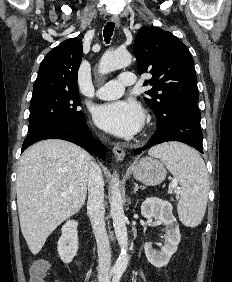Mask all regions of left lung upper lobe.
I'll return each instance as SVG.
<instances>
[{
    "label": "left lung upper lobe",
    "mask_w": 232,
    "mask_h": 282,
    "mask_svg": "<svg viewBox=\"0 0 232 282\" xmlns=\"http://www.w3.org/2000/svg\"><path fill=\"white\" fill-rule=\"evenodd\" d=\"M138 72L152 78L144 85L153 86L145 92L146 103L155 114H162L180 100L197 104L199 94L194 61L189 49L173 34L159 27L141 28L133 46Z\"/></svg>",
    "instance_id": "obj_1"
}]
</instances>
